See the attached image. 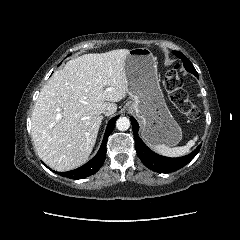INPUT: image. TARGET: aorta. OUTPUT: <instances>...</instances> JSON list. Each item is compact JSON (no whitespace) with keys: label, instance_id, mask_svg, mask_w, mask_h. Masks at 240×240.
Wrapping results in <instances>:
<instances>
[{"label":"aorta","instance_id":"obj_1","mask_svg":"<svg viewBox=\"0 0 240 240\" xmlns=\"http://www.w3.org/2000/svg\"><path fill=\"white\" fill-rule=\"evenodd\" d=\"M130 127V120L127 117H119L116 121V128L120 131H126Z\"/></svg>","mask_w":240,"mask_h":240}]
</instances>
